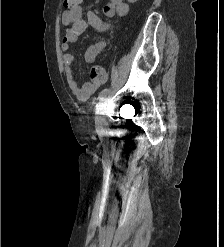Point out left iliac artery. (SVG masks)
Instances as JSON below:
<instances>
[{"label": "left iliac artery", "mask_w": 224, "mask_h": 247, "mask_svg": "<svg viewBox=\"0 0 224 247\" xmlns=\"http://www.w3.org/2000/svg\"><path fill=\"white\" fill-rule=\"evenodd\" d=\"M108 93H109V89H108V88L103 89V90L99 93L98 99L101 100V99H102L104 96H106Z\"/></svg>", "instance_id": "left-iliac-artery-1"}]
</instances>
